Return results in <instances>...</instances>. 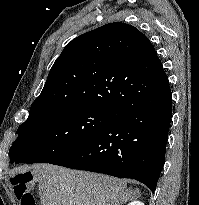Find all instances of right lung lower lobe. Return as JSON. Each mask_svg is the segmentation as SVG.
I'll list each match as a JSON object with an SVG mask.
<instances>
[{
  "instance_id": "98d812e1",
  "label": "right lung lower lobe",
  "mask_w": 199,
  "mask_h": 205,
  "mask_svg": "<svg viewBox=\"0 0 199 205\" xmlns=\"http://www.w3.org/2000/svg\"><path fill=\"white\" fill-rule=\"evenodd\" d=\"M156 77L154 89L114 111L97 135L50 164L135 179L154 193L172 117L168 77L165 72Z\"/></svg>"
}]
</instances>
